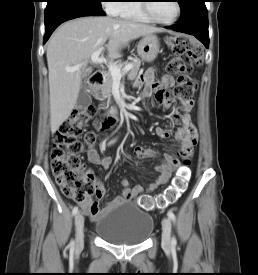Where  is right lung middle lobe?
<instances>
[{
  "mask_svg": "<svg viewBox=\"0 0 258 275\" xmlns=\"http://www.w3.org/2000/svg\"><path fill=\"white\" fill-rule=\"evenodd\" d=\"M63 1H78V2H87L89 4L98 6V7H102L101 6V1L102 0H48L47 2V6H51L53 4L59 3V2H63Z\"/></svg>",
  "mask_w": 258,
  "mask_h": 275,
  "instance_id": "dd1d6c3e",
  "label": "right lung middle lobe"
}]
</instances>
